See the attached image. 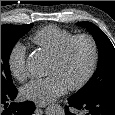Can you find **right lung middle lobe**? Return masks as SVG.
<instances>
[{"label": "right lung middle lobe", "instance_id": "right-lung-middle-lobe-1", "mask_svg": "<svg viewBox=\"0 0 115 115\" xmlns=\"http://www.w3.org/2000/svg\"><path fill=\"white\" fill-rule=\"evenodd\" d=\"M33 26L28 25H1V91L14 87L12 82L9 58L13 46Z\"/></svg>", "mask_w": 115, "mask_h": 115}]
</instances>
